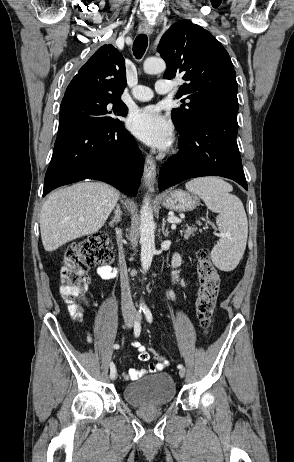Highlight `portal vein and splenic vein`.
<instances>
[{"mask_svg": "<svg viewBox=\"0 0 294 462\" xmlns=\"http://www.w3.org/2000/svg\"><path fill=\"white\" fill-rule=\"evenodd\" d=\"M168 222H170L172 224H177V223L181 222V219L171 216V217L168 218Z\"/></svg>", "mask_w": 294, "mask_h": 462, "instance_id": "portal-vein-and-splenic-vein-1", "label": "portal vein and splenic vein"}]
</instances>
